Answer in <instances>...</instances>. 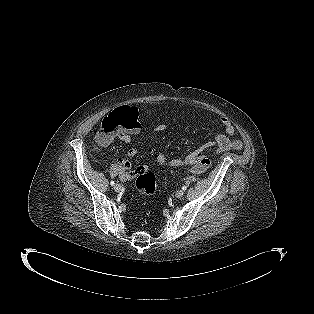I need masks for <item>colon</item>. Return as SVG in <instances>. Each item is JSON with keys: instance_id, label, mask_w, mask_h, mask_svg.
I'll return each instance as SVG.
<instances>
[{"instance_id": "colon-1", "label": "colon", "mask_w": 314, "mask_h": 314, "mask_svg": "<svg viewBox=\"0 0 314 314\" xmlns=\"http://www.w3.org/2000/svg\"><path fill=\"white\" fill-rule=\"evenodd\" d=\"M140 127L138 113L134 107L122 106L103 119L98 129L96 142L102 143L122 131H132ZM211 166L208 157H201L191 168V172L200 174ZM136 188L142 194H152L159 189L156 176L144 166L137 169Z\"/></svg>"}]
</instances>
